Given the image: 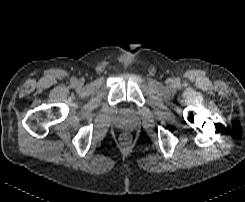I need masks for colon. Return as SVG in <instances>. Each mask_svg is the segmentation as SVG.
Instances as JSON below:
<instances>
[{
    "label": "colon",
    "mask_w": 245,
    "mask_h": 202,
    "mask_svg": "<svg viewBox=\"0 0 245 202\" xmlns=\"http://www.w3.org/2000/svg\"><path fill=\"white\" fill-rule=\"evenodd\" d=\"M124 138H125L126 140H128L130 137H129V135H125Z\"/></svg>",
    "instance_id": "5ec220e1"
}]
</instances>
